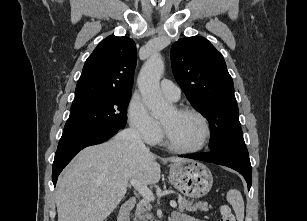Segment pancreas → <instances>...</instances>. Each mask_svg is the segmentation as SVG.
Instances as JSON below:
<instances>
[{
  "label": "pancreas",
  "instance_id": "1",
  "mask_svg": "<svg viewBox=\"0 0 307 221\" xmlns=\"http://www.w3.org/2000/svg\"><path fill=\"white\" fill-rule=\"evenodd\" d=\"M178 204H179V210L180 211H189V212H195L197 210L205 211L207 212L209 208H211L210 205H208L207 202H196L194 203L193 200L189 201L185 197L179 196L178 197ZM151 205L149 201L147 200H141L136 207L135 212V219L134 221H153V215L150 213Z\"/></svg>",
  "mask_w": 307,
  "mask_h": 221
}]
</instances>
